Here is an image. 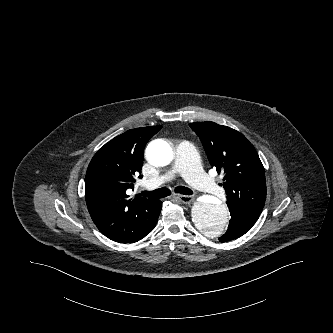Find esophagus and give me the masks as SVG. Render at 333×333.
I'll list each match as a JSON object with an SVG mask.
<instances>
[{"mask_svg":"<svg viewBox=\"0 0 333 333\" xmlns=\"http://www.w3.org/2000/svg\"><path fill=\"white\" fill-rule=\"evenodd\" d=\"M178 200L184 204H189L193 201V197L192 196H189V195H182V194H179L177 196Z\"/></svg>","mask_w":333,"mask_h":333,"instance_id":"esophagus-1","label":"esophagus"}]
</instances>
